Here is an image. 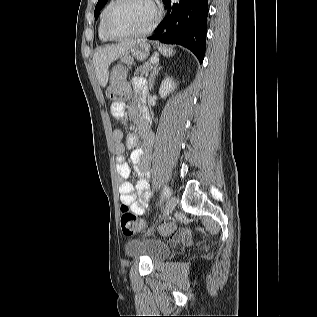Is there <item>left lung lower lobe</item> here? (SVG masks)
<instances>
[{
    "instance_id": "left-lung-lower-lobe-1",
    "label": "left lung lower lobe",
    "mask_w": 317,
    "mask_h": 317,
    "mask_svg": "<svg viewBox=\"0 0 317 317\" xmlns=\"http://www.w3.org/2000/svg\"><path fill=\"white\" fill-rule=\"evenodd\" d=\"M168 10L166 18L157 26L150 40L179 44L190 49L203 61L206 48L208 0H163Z\"/></svg>"
}]
</instances>
